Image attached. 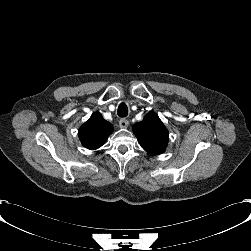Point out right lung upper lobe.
Here are the masks:
<instances>
[{"label": "right lung upper lobe", "mask_w": 251, "mask_h": 251, "mask_svg": "<svg viewBox=\"0 0 251 251\" xmlns=\"http://www.w3.org/2000/svg\"><path fill=\"white\" fill-rule=\"evenodd\" d=\"M113 132V126L99 112H95L79 129V138L90 150L100 148Z\"/></svg>", "instance_id": "obj_1"}]
</instances>
